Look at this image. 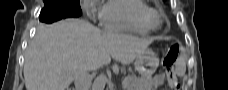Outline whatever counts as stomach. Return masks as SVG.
<instances>
[{
	"label": "stomach",
	"instance_id": "obj_1",
	"mask_svg": "<svg viewBox=\"0 0 228 90\" xmlns=\"http://www.w3.org/2000/svg\"><path fill=\"white\" fill-rule=\"evenodd\" d=\"M135 68L144 77H150L159 66V58L151 49H146L135 60Z\"/></svg>",
	"mask_w": 228,
	"mask_h": 90
}]
</instances>
